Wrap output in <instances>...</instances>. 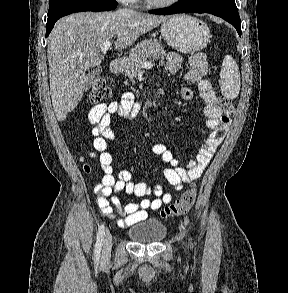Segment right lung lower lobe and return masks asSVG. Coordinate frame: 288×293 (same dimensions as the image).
<instances>
[{
    "instance_id": "98d812e1",
    "label": "right lung lower lobe",
    "mask_w": 288,
    "mask_h": 293,
    "mask_svg": "<svg viewBox=\"0 0 288 293\" xmlns=\"http://www.w3.org/2000/svg\"><path fill=\"white\" fill-rule=\"evenodd\" d=\"M116 7L117 5L102 6V5L92 4V3H81V4H76V5H72L64 9H61L57 11L56 13L48 16L47 25H46V37L50 34L51 30L54 27L55 22L63 16H66L71 13L82 12V11H93V12L110 11L115 9Z\"/></svg>"
}]
</instances>
